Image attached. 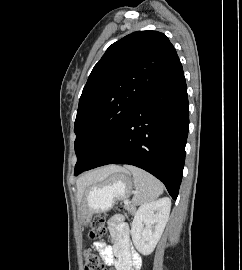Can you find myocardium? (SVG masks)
<instances>
[{
    "label": "myocardium",
    "mask_w": 242,
    "mask_h": 270,
    "mask_svg": "<svg viewBox=\"0 0 242 270\" xmlns=\"http://www.w3.org/2000/svg\"><path fill=\"white\" fill-rule=\"evenodd\" d=\"M97 142H98V138L97 137H94L90 143L88 144V150H92L96 147L97 145Z\"/></svg>",
    "instance_id": "f54148a6"
}]
</instances>
